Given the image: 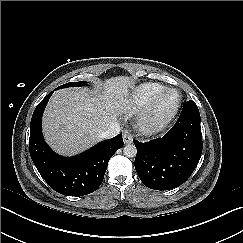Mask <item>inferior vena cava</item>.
<instances>
[{"instance_id": "1", "label": "inferior vena cava", "mask_w": 243, "mask_h": 243, "mask_svg": "<svg viewBox=\"0 0 243 243\" xmlns=\"http://www.w3.org/2000/svg\"><path fill=\"white\" fill-rule=\"evenodd\" d=\"M120 133V125L117 122L112 123L108 129L99 134L100 139H109Z\"/></svg>"}]
</instances>
